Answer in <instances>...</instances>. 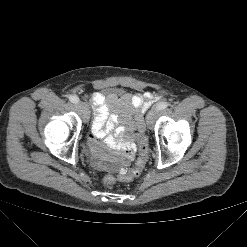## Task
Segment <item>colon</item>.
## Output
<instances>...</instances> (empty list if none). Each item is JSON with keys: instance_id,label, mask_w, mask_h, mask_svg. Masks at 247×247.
Wrapping results in <instances>:
<instances>
[{"instance_id": "1", "label": "colon", "mask_w": 247, "mask_h": 247, "mask_svg": "<svg viewBox=\"0 0 247 247\" xmlns=\"http://www.w3.org/2000/svg\"><path fill=\"white\" fill-rule=\"evenodd\" d=\"M137 139L139 142V156L136 165L128 170H123L116 177L108 176L104 179V183L108 186L113 185L117 180L120 181H131L138 177L145 165L148 156V144L145 135L142 132L137 134Z\"/></svg>"}]
</instances>
